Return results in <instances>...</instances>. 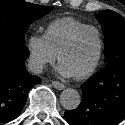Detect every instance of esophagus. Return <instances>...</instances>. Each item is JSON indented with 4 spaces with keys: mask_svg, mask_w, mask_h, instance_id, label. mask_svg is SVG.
<instances>
[{
    "mask_svg": "<svg viewBox=\"0 0 125 125\" xmlns=\"http://www.w3.org/2000/svg\"><path fill=\"white\" fill-rule=\"evenodd\" d=\"M52 86L58 90H63L65 88L64 84L58 81H52Z\"/></svg>",
    "mask_w": 125,
    "mask_h": 125,
    "instance_id": "esophagus-1",
    "label": "esophagus"
}]
</instances>
